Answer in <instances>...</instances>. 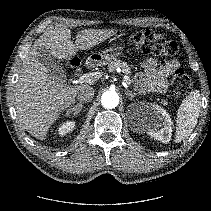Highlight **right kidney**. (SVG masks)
Segmentation results:
<instances>
[{
    "label": "right kidney",
    "instance_id": "right-kidney-1",
    "mask_svg": "<svg viewBox=\"0 0 211 211\" xmlns=\"http://www.w3.org/2000/svg\"><path fill=\"white\" fill-rule=\"evenodd\" d=\"M74 127H75L74 121H66L59 126L57 131L60 136H64L67 133L71 132L74 129Z\"/></svg>",
    "mask_w": 211,
    "mask_h": 211
}]
</instances>
